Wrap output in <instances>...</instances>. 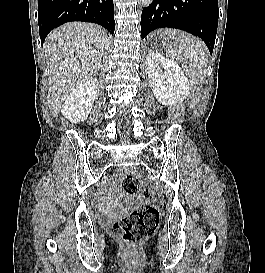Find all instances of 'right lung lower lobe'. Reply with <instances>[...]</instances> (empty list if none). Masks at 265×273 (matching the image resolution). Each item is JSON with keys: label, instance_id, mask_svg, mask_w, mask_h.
Here are the masks:
<instances>
[{"label": "right lung lower lobe", "instance_id": "right-lung-lower-lobe-1", "mask_svg": "<svg viewBox=\"0 0 265 273\" xmlns=\"http://www.w3.org/2000/svg\"><path fill=\"white\" fill-rule=\"evenodd\" d=\"M69 21L97 23L114 33L113 0H38L41 43L48 33Z\"/></svg>", "mask_w": 265, "mask_h": 273}]
</instances>
